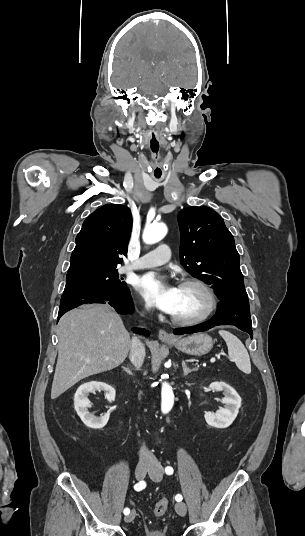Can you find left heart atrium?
Instances as JSON below:
<instances>
[{
  "instance_id": "1",
  "label": "left heart atrium",
  "mask_w": 305,
  "mask_h": 536,
  "mask_svg": "<svg viewBox=\"0 0 305 536\" xmlns=\"http://www.w3.org/2000/svg\"><path fill=\"white\" fill-rule=\"evenodd\" d=\"M136 289L145 300L162 311L171 313L176 305L178 286L165 276L145 274L138 279Z\"/></svg>"
}]
</instances>
